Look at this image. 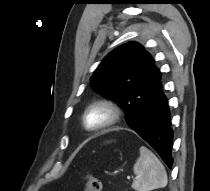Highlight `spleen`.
<instances>
[{
  "label": "spleen",
  "instance_id": "3e777b00",
  "mask_svg": "<svg viewBox=\"0 0 210 191\" xmlns=\"http://www.w3.org/2000/svg\"><path fill=\"white\" fill-rule=\"evenodd\" d=\"M140 156L134 164L136 179L132 188L136 191H151L167 185V173L160 160L146 147L139 149Z\"/></svg>",
  "mask_w": 210,
  "mask_h": 191
}]
</instances>
